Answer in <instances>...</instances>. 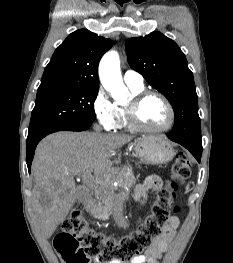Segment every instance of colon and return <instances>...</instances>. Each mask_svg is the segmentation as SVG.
<instances>
[{"instance_id": "1", "label": "colon", "mask_w": 233, "mask_h": 263, "mask_svg": "<svg viewBox=\"0 0 233 263\" xmlns=\"http://www.w3.org/2000/svg\"><path fill=\"white\" fill-rule=\"evenodd\" d=\"M189 158L180 152L172 168L166 188L161 190L150 215L134 231L115 238L89 226L81 210H74L63 224V231L55 239V248L67 263H90L119 260L125 263L143 255L153 240L162 233V227L178 212V182L190 176Z\"/></svg>"}]
</instances>
